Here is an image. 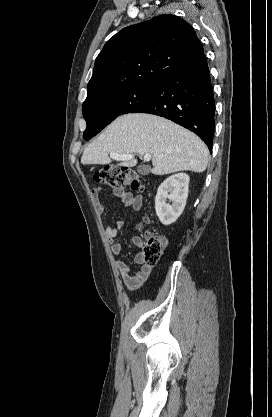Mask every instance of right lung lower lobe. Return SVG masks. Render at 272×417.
<instances>
[{"mask_svg":"<svg viewBox=\"0 0 272 417\" xmlns=\"http://www.w3.org/2000/svg\"><path fill=\"white\" fill-rule=\"evenodd\" d=\"M165 117L197 134L211 151L215 102L205 54L169 74L153 95L131 113Z\"/></svg>","mask_w":272,"mask_h":417,"instance_id":"98d812e1","label":"right lung lower lobe"}]
</instances>
